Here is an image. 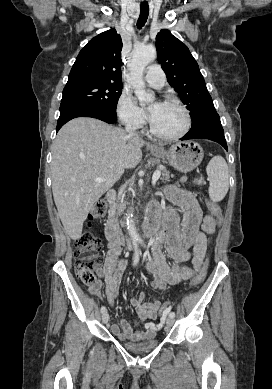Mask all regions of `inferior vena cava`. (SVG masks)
<instances>
[{"mask_svg":"<svg viewBox=\"0 0 272 389\" xmlns=\"http://www.w3.org/2000/svg\"><path fill=\"white\" fill-rule=\"evenodd\" d=\"M126 132L129 134V136H137L135 133V127L131 125H126Z\"/></svg>","mask_w":272,"mask_h":389,"instance_id":"1","label":"inferior vena cava"}]
</instances>
